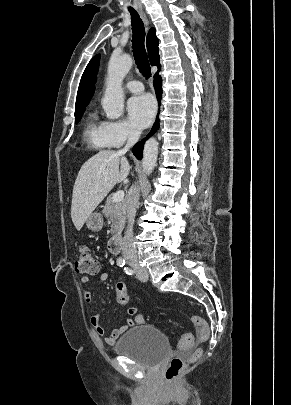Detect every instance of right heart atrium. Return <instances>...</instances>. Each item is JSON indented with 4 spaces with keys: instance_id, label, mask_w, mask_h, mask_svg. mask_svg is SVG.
Returning <instances> with one entry per match:
<instances>
[{
    "instance_id": "d8ad5b80",
    "label": "right heart atrium",
    "mask_w": 291,
    "mask_h": 405,
    "mask_svg": "<svg viewBox=\"0 0 291 405\" xmlns=\"http://www.w3.org/2000/svg\"><path fill=\"white\" fill-rule=\"evenodd\" d=\"M103 131L110 147H120L138 135V132L126 121H104Z\"/></svg>"
}]
</instances>
